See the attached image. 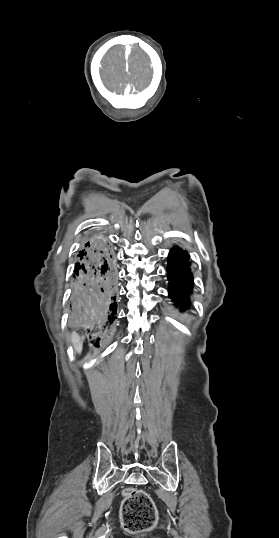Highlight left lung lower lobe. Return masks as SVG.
Listing matches in <instances>:
<instances>
[{
  "mask_svg": "<svg viewBox=\"0 0 279 538\" xmlns=\"http://www.w3.org/2000/svg\"><path fill=\"white\" fill-rule=\"evenodd\" d=\"M169 296L179 305L181 311L189 305L188 295L192 291L193 280L189 267V256L179 247L173 248L168 257Z\"/></svg>",
  "mask_w": 279,
  "mask_h": 538,
  "instance_id": "obj_1",
  "label": "left lung lower lobe"
}]
</instances>
